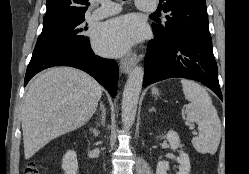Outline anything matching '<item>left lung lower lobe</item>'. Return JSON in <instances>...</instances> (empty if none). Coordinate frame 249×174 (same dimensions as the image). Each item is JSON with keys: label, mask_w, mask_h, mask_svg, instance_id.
Returning <instances> with one entry per match:
<instances>
[{"label": "left lung lower lobe", "mask_w": 249, "mask_h": 174, "mask_svg": "<svg viewBox=\"0 0 249 174\" xmlns=\"http://www.w3.org/2000/svg\"><path fill=\"white\" fill-rule=\"evenodd\" d=\"M174 77L199 81L222 100L211 37L167 42L155 35L148 43L143 86Z\"/></svg>", "instance_id": "1"}]
</instances>
